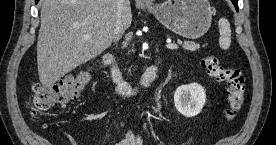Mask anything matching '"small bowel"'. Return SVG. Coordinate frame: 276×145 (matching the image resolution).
I'll list each match as a JSON object with an SVG mask.
<instances>
[{
  "instance_id": "small-bowel-1",
  "label": "small bowel",
  "mask_w": 276,
  "mask_h": 145,
  "mask_svg": "<svg viewBox=\"0 0 276 145\" xmlns=\"http://www.w3.org/2000/svg\"><path fill=\"white\" fill-rule=\"evenodd\" d=\"M106 144L113 145L111 141H107ZM115 145H144V140L140 134L128 131L126 136Z\"/></svg>"
}]
</instances>
